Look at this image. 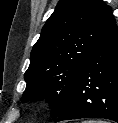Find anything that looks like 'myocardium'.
<instances>
[{
  "label": "myocardium",
  "instance_id": "f54148a6",
  "mask_svg": "<svg viewBox=\"0 0 118 123\" xmlns=\"http://www.w3.org/2000/svg\"><path fill=\"white\" fill-rule=\"evenodd\" d=\"M47 100L42 99L38 102L37 107L39 110H44L47 107Z\"/></svg>",
  "mask_w": 118,
  "mask_h": 123
}]
</instances>
